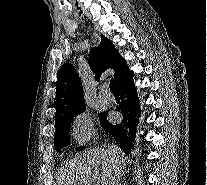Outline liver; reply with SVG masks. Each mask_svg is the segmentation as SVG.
Returning <instances> with one entry per match:
<instances>
[{"instance_id": "liver-1", "label": "liver", "mask_w": 207, "mask_h": 185, "mask_svg": "<svg viewBox=\"0 0 207 185\" xmlns=\"http://www.w3.org/2000/svg\"><path fill=\"white\" fill-rule=\"evenodd\" d=\"M124 157L125 153L119 147L86 151V153H83L82 159H79V161L78 159H73L68 163L65 181L67 185H77L78 181H85L88 173L87 169L100 165L104 171L99 177L98 185H101V183L103 185H111L116 173H121L125 167Z\"/></svg>"}]
</instances>
